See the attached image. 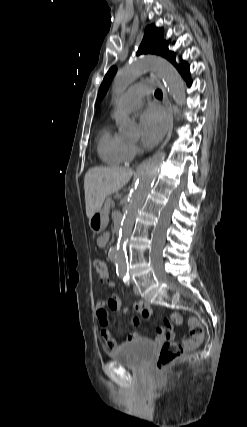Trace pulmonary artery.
<instances>
[{"label": "pulmonary artery", "instance_id": "pulmonary-artery-1", "mask_svg": "<svg viewBox=\"0 0 247 427\" xmlns=\"http://www.w3.org/2000/svg\"><path fill=\"white\" fill-rule=\"evenodd\" d=\"M152 90L149 83H142L132 86L121 97L119 106L122 110L130 112L136 110L142 104L143 97Z\"/></svg>", "mask_w": 247, "mask_h": 427}]
</instances>
